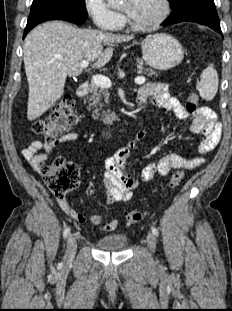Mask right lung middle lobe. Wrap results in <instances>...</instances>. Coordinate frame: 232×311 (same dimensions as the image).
<instances>
[{
    "label": "right lung middle lobe",
    "mask_w": 232,
    "mask_h": 311,
    "mask_svg": "<svg viewBox=\"0 0 232 311\" xmlns=\"http://www.w3.org/2000/svg\"><path fill=\"white\" fill-rule=\"evenodd\" d=\"M47 9H63L87 18L85 0H33L30 14Z\"/></svg>",
    "instance_id": "right-lung-middle-lobe-1"
}]
</instances>
